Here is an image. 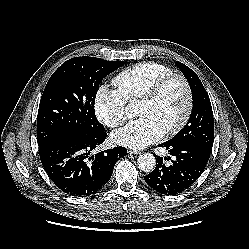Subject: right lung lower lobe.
<instances>
[{
  "mask_svg": "<svg viewBox=\"0 0 249 249\" xmlns=\"http://www.w3.org/2000/svg\"><path fill=\"white\" fill-rule=\"evenodd\" d=\"M106 137V132L65 134L39 146L42 165L59 189L71 196L86 197L104 187L117 160L127 155L124 147H114L91 156Z\"/></svg>",
  "mask_w": 249,
  "mask_h": 249,
  "instance_id": "1",
  "label": "right lung lower lobe"
}]
</instances>
